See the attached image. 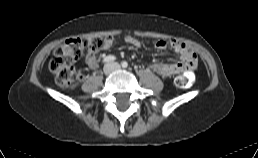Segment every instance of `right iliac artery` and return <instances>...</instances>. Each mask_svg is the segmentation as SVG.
I'll use <instances>...</instances> for the list:
<instances>
[{"mask_svg":"<svg viewBox=\"0 0 258 158\" xmlns=\"http://www.w3.org/2000/svg\"><path fill=\"white\" fill-rule=\"evenodd\" d=\"M116 58L114 57V56H112V55H109V56H107L104 60H103V62H112V61H114Z\"/></svg>","mask_w":258,"mask_h":158,"instance_id":"1","label":"right iliac artery"}]
</instances>
